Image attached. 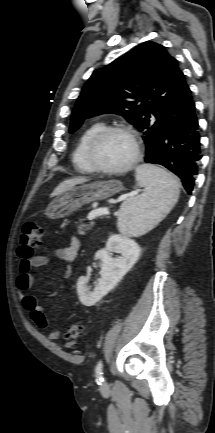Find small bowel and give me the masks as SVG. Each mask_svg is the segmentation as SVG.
<instances>
[{
  "label": "small bowel",
  "instance_id": "small-bowel-1",
  "mask_svg": "<svg viewBox=\"0 0 215 433\" xmlns=\"http://www.w3.org/2000/svg\"><path fill=\"white\" fill-rule=\"evenodd\" d=\"M80 248V243L76 238H72L70 245L63 248H57L54 252L55 255L65 262L66 269L63 273L64 278H68L71 273V264L75 260ZM49 260L43 255H32L30 257H21L19 265V275L16 279V287L19 291L21 303L23 308L29 313L31 320L41 330H47L49 323L44 315L43 308L38 302L37 298L33 295L27 294L35 283V277L31 273L34 268H40L48 265ZM61 333L53 330L48 334V338L52 341H56L60 338ZM73 342L69 341L66 346H71Z\"/></svg>",
  "mask_w": 215,
  "mask_h": 433
}]
</instances>
